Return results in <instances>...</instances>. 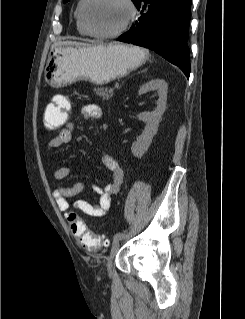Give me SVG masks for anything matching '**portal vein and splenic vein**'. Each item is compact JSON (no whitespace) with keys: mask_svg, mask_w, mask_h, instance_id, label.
<instances>
[{"mask_svg":"<svg viewBox=\"0 0 245 319\" xmlns=\"http://www.w3.org/2000/svg\"><path fill=\"white\" fill-rule=\"evenodd\" d=\"M109 91H110V92H113V91H114V87H110V88H109Z\"/></svg>","mask_w":245,"mask_h":319,"instance_id":"obj_1","label":"portal vein and splenic vein"}]
</instances>
